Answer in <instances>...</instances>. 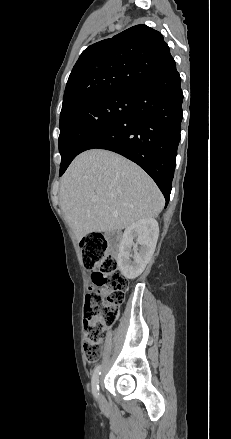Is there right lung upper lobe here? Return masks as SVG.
<instances>
[{
    "label": "right lung upper lobe",
    "mask_w": 231,
    "mask_h": 439,
    "mask_svg": "<svg viewBox=\"0 0 231 439\" xmlns=\"http://www.w3.org/2000/svg\"><path fill=\"white\" fill-rule=\"evenodd\" d=\"M175 65L160 32L133 26L82 52L69 76L61 113L99 95L134 93Z\"/></svg>",
    "instance_id": "obj_1"
}]
</instances>
